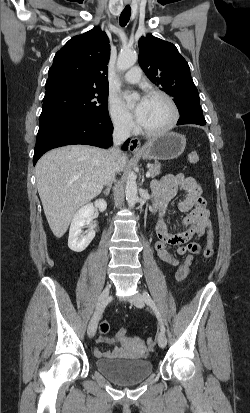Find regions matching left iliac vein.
Returning a JSON list of instances; mask_svg holds the SVG:
<instances>
[{
    "instance_id": "left-iliac-vein-1",
    "label": "left iliac vein",
    "mask_w": 250,
    "mask_h": 413,
    "mask_svg": "<svg viewBox=\"0 0 250 413\" xmlns=\"http://www.w3.org/2000/svg\"><path fill=\"white\" fill-rule=\"evenodd\" d=\"M130 302H131L133 305H135L136 307H138V308H142V307L144 306V304H145L144 297H143L142 294H140V293H137V294H135L133 297H131V298H130ZM157 341H158V345H159L161 348H164V347L166 346V344H167V338H166V336H165V334H164L163 332H160V333L158 334Z\"/></svg>"
}]
</instances>
